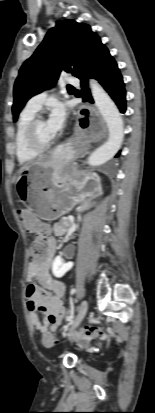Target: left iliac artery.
Returning a JSON list of instances; mask_svg holds the SVG:
<instances>
[{
	"label": "left iliac artery",
	"mask_w": 155,
	"mask_h": 413,
	"mask_svg": "<svg viewBox=\"0 0 155 413\" xmlns=\"http://www.w3.org/2000/svg\"><path fill=\"white\" fill-rule=\"evenodd\" d=\"M75 292H76V289H72V290H71V294H72V295L75 294Z\"/></svg>",
	"instance_id": "left-iliac-artery-1"
}]
</instances>
